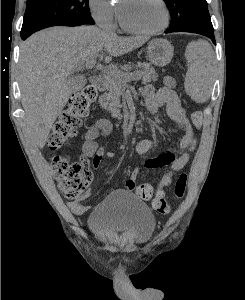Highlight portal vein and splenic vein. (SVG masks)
<instances>
[{"label":"portal vein and splenic vein","mask_w":245,"mask_h":300,"mask_svg":"<svg viewBox=\"0 0 245 300\" xmlns=\"http://www.w3.org/2000/svg\"><path fill=\"white\" fill-rule=\"evenodd\" d=\"M95 62H96V59H93L91 61H88L86 63V67L87 68H92L94 65H95ZM128 79H139L138 78V73H130L128 76H127Z\"/></svg>","instance_id":"portal-vein-and-splenic-vein-1"}]
</instances>
